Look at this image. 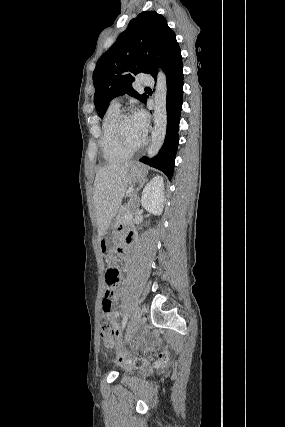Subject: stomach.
I'll return each instance as SVG.
<instances>
[{
	"label": "stomach",
	"mask_w": 285,
	"mask_h": 427,
	"mask_svg": "<svg viewBox=\"0 0 285 427\" xmlns=\"http://www.w3.org/2000/svg\"><path fill=\"white\" fill-rule=\"evenodd\" d=\"M146 169L139 164H133L129 172V185L133 186L136 183L142 184L145 180ZM114 226L107 229L106 233L99 241L101 251L104 254H109L113 248Z\"/></svg>",
	"instance_id": "1"
}]
</instances>
